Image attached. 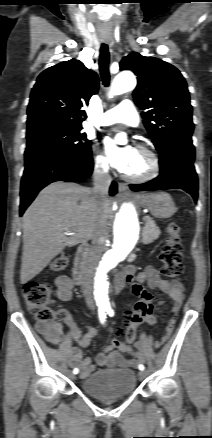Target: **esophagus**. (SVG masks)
Instances as JSON below:
<instances>
[{
  "label": "esophagus",
  "mask_w": 212,
  "mask_h": 438,
  "mask_svg": "<svg viewBox=\"0 0 212 438\" xmlns=\"http://www.w3.org/2000/svg\"><path fill=\"white\" fill-rule=\"evenodd\" d=\"M118 189L121 194L129 195L128 186L125 183H119Z\"/></svg>",
  "instance_id": "34e87169"
}]
</instances>
